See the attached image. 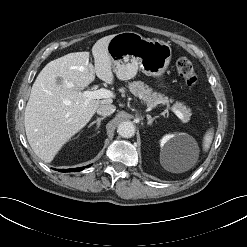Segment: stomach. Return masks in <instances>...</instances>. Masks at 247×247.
Segmentation results:
<instances>
[{
    "label": "stomach",
    "instance_id": "obj_1",
    "mask_svg": "<svg viewBox=\"0 0 247 247\" xmlns=\"http://www.w3.org/2000/svg\"><path fill=\"white\" fill-rule=\"evenodd\" d=\"M113 71L120 80L135 77L138 69L154 77H161L168 68L171 46L162 40H150L136 32L115 34L108 44Z\"/></svg>",
    "mask_w": 247,
    "mask_h": 247
}]
</instances>
